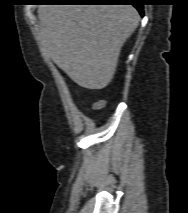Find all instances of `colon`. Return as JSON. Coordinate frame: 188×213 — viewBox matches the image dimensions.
Listing matches in <instances>:
<instances>
[{"instance_id": "1", "label": "colon", "mask_w": 188, "mask_h": 213, "mask_svg": "<svg viewBox=\"0 0 188 213\" xmlns=\"http://www.w3.org/2000/svg\"><path fill=\"white\" fill-rule=\"evenodd\" d=\"M105 105H106V102L103 100H100V101H97L94 103L93 108L95 110H100V109H103L105 107Z\"/></svg>"}]
</instances>
